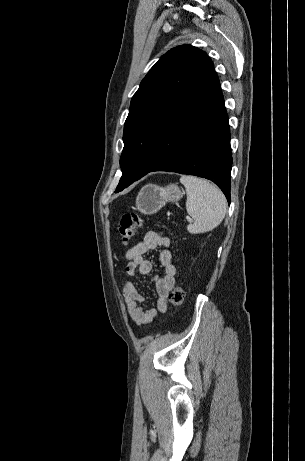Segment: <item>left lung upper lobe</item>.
Listing matches in <instances>:
<instances>
[{
  "label": "left lung upper lobe",
  "instance_id": "5c2ea615",
  "mask_svg": "<svg viewBox=\"0 0 305 461\" xmlns=\"http://www.w3.org/2000/svg\"><path fill=\"white\" fill-rule=\"evenodd\" d=\"M212 66L204 51L181 45L161 56L150 69L131 100L125 121L120 158L122 177L115 192L148 171L162 128Z\"/></svg>",
  "mask_w": 305,
  "mask_h": 461
}]
</instances>
